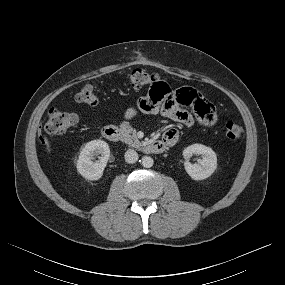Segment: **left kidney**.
Wrapping results in <instances>:
<instances>
[{"label":"left kidney","instance_id":"1","mask_svg":"<svg viewBox=\"0 0 285 285\" xmlns=\"http://www.w3.org/2000/svg\"><path fill=\"white\" fill-rule=\"evenodd\" d=\"M183 155L188 160L192 155H202L203 158L199 164H191L185 162V170L194 180H203L211 176L217 168L216 153L210 148L202 144H193L184 149Z\"/></svg>","mask_w":285,"mask_h":285}]
</instances>
